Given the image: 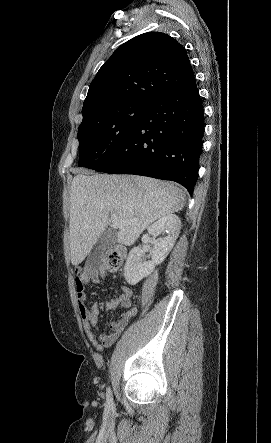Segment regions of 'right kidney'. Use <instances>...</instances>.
Wrapping results in <instances>:
<instances>
[{
    "instance_id": "1",
    "label": "right kidney",
    "mask_w": 271,
    "mask_h": 443,
    "mask_svg": "<svg viewBox=\"0 0 271 443\" xmlns=\"http://www.w3.org/2000/svg\"><path fill=\"white\" fill-rule=\"evenodd\" d=\"M181 229V220L175 214H165L159 218L157 222L152 223L148 227V233H144L142 237L143 243H148L153 239L154 245L150 249L151 261H142L144 253L141 245L132 247L124 265V275L126 281L130 285H135L140 279L149 275L153 271L155 265L164 261L169 251H171ZM153 235V237H150ZM160 235V237H157Z\"/></svg>"
}]
</instances>
